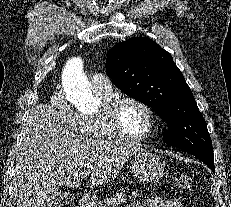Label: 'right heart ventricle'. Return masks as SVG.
Instances as JSON below:
<instances>
[{"instance_id": "1", "label": "right heart ventricle", "mask_w": 231, "mask_h": 207, "mask_svg": "<svg viewBox=\"0 0 231 207\" xmlns=\"http://www.w3.org/2000/svg\"><path fill=\"white\" fill-rule=\"evenodd\" d=\"M94 92L104 103L112 98L111 92L96 90H94ZM79 131L83 137L92 140H109L113 138L106 130L100 113L95 115H81Z\"/></svg>"}]
</instances>
